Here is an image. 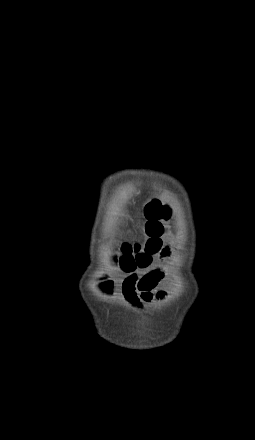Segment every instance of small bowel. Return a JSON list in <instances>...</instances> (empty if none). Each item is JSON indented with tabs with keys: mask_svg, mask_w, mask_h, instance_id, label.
I'll return each mask as SVG.
<instances>
[{
	"mask_svg": "<svg viewBox=\"0 0 255 440\" xmlns=\"http://www.w3.org/2000/svg\"><path fill=\"white\" fill-rule=\"evenodd\" d=\"M169 253V248L163 249L162 257H167ZM163 277L161 269L148 270L140 276L129 274L122 282L120 293L128 303L136 307L154 300H163L166 292L157 290ZM107 290L110 291V287Z\"/></svg>",
	"mask_w": 255,
	"mask_h": 440,
	"instance_id": "small-bowel-1",
	"label": "small bowel"
}]
</instances>
